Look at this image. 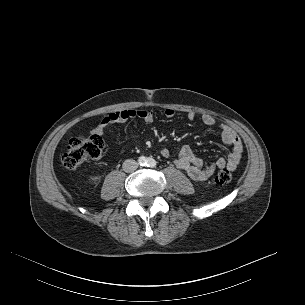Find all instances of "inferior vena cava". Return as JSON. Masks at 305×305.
<instances>
[{
	"label": "inferior vena cava",
	"instance_id": "inferior-vena-cava-1",
	"mask_svg": "<svg viewBox=\"0 0 305 305\" xmlns=\"http://www.w3.org/2000/svg\"><path fill=\"white\" fill-rule=\"evenodd\" d=\"M122 168L125 172L130 173L138 168V163L133 159H127L124 161Z\"/></svg>",
	"mask_w": 305,
	"mask_h": 305
}]
</instances>
